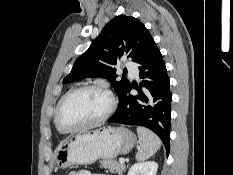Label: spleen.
<instances>
[{
	"mask_svg": "<svg viewBox=\"0 0 233 175\" xmlns=\"http://www.w3.org/2000/svg\"><path fill=\"white\" fill-rule=\"evenodd\" d=\"M140 147L136 154L137 161H144L154 155L161 146V140L151 130L137 127Z\"/></svg>",
	"mask_w": 233,
	"mask_h": 175,
	"instance_id": "3e777b00",
	"label": "spleen"
}]
</instances>
